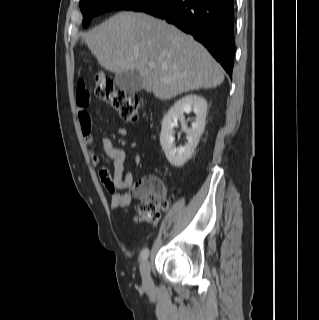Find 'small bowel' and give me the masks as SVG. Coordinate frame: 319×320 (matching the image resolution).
<instances>
[{
    "label": "small bowel",
    "mask_w": 319,
    "mask_h": 320,
    "mask_svg": "<svg viewBox=\"0 0 319 320\" xmlns=\"http://www.w3.org/2000/svg\"><path fill=\"white\" fill-rule=\"evenodd\" d=\"M77 121L83 133L84 141L87 145L88 152L94 165L100 168V176L106 191L111 195V206L113 208H126L132 200L138 195L135 192L134 177L130 171L125 169L127 154L125 150L115 147L109 137L101 140L102 149L105 156L113 162V169L108 170L102 162V157L95 147L94 137L91 134L93 119L89 110L90 95L85 86H80L76 92ZM127 134V129L120 126L116 129L115 135L123 137ZM133 163L140 165L142 162L141 155H133ZM128 190L127 194L120 191Z\"/></svg>",
    "instance_id": "c3829d8e"
}]
</instances>
